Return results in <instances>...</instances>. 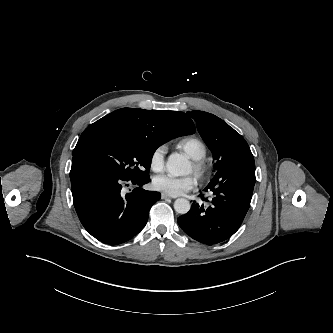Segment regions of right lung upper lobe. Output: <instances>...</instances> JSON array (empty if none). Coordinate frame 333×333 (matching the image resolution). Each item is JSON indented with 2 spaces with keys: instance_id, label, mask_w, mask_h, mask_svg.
Instances as JSON below:
<instances>
[{
  "instance_id": "obj_1",
  "label": "right lung upper lobe",
  "mask_w": 333,
  "mask_h": 333,
  "mask_svg": "<svg viewBox=\"0 0 333 333\" xmlns=\"http://www.w3.org/2000/svg\"><path fill=\"white\" fill-rule=\"evenodd\" d=\"M97 131L124 132L160 146L177 136L194 133L195 126L183 112L122 108L91 124L82 134Z\"/></svg>"
}]
</instances>
